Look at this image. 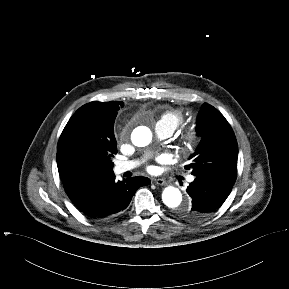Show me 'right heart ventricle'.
Here are the masks:
<instances>
[{"mask_svg":"<svg viewBox=\"0 0 289 289\" xmlns=\"http://www.w3.org/2000/svg\"><path fill=\"white\" fill-rule=\"evenodd\" d=\"M185 115L182 110L172 109L165 111L158 122H161L168 126L172 131H175L179 126L183 124Z\"/></svg>","mask_w":289,"mask_h":289,"instance_id":"1","label":"right heart ventricle"}]
</instances>
